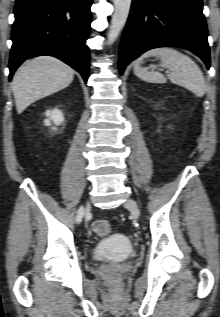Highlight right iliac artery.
I'll return each mask as SVG.
<instances>
[{
  "instance_id": "right-iliac-artery-1",
  "label": "right iliac artery",
  "mask_w": 220,
  "mask_h": 317,
  "mask_svg": "<svg viewBox=\"0 0 220 317\" xmlns=\"http://www.w3.org/2000/svg\"><path fill=\"white\" fill-rule=\"evenodd\" d=\"M83 207H80L78 212H77V216H76V222L79 223L81 222L82 216H83Z\"/></svg>"
}]
</instances>
